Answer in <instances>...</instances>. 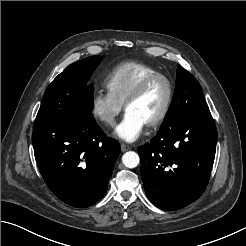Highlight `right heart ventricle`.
Wrapping results in <instances>:
<instances>
[{
	"mask_svg": "<svg viewBox=\"0 0 246 246\" xmlns=\"http://www.w3.org/2000/svg\"><path fill=\"white\" fill-rule=\"evenodd\" d=\"M159 72L141 62H124L113 68L105 78L108 92L122 105L128 95L145 77Z\"/></svg>",
	"mask_w": 246,
	"mask_h": 246,
	"instance_id": "e07e8e85",
	"label": "right heart ventricle"
}]
</instances>
